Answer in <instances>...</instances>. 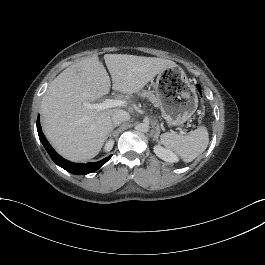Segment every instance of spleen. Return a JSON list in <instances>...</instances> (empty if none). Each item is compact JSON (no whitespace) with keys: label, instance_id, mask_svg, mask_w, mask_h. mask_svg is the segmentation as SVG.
Masks as SVG:
<instances>
[{"label":"spleen","instance_id":"spleen-1","mask_svg":"<svg viewBox=\"0 0 265 265\" xmlns=\"http://www.w3.org/2000/svg\"><path fill=\"white\" fill-rule=\"evenodd\" d=\"M160 142L164 146L175 150L185 162H190L207 148L209 138L207 129L203 126L183 136L173 133H163Z\"/></svg>","mask_w":265,"mask_h":265}]
</instances>
